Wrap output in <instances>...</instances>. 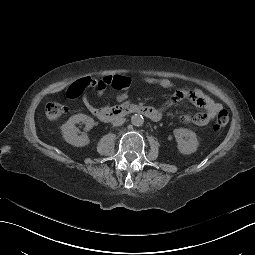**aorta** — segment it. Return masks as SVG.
<instances>
[{
    "label": "aorta",
    "mask_w": 255,
    "mask_h": 255,
    "mask_svg": "<svg viewBox=\"0 0 255 255\" xmlns=\"http://www.w3.org/2000/svg\"><path fill=\"white\" fill-rule=\"evenodd\" d=\"M131 123L137 127L142 126L144 123V118L141 114H134L131 117Z\"/></svg>",
    "instance_id": "762f6f07"
}]
</instances>
